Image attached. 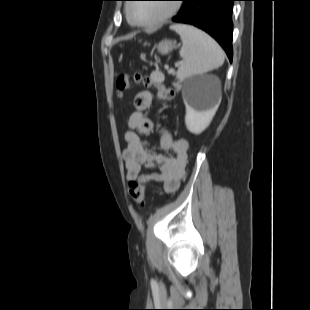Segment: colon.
Here are the masks:
<instances>
[{
  "label": "colon",
  "instance_id": "1",
  "mask_svg": "<svg viewBox=\"0 0 310 310\" xmlns=\"http://www.w3.org/2000/svg\"><path fill=\"white\" fill-rule=\"evenodd\" d=\"M140 84L145 87H155L157 95L160 99L168 101L173 99V89L163 84V76L159 72H153L150 75H144L140 72L121 73L116 79V88L119 96H123L132 86V84ZM128 192L131 200L141 205L145 198L146 185L138 181L129 182Z\"/></svg>",
  "mask_w": 310,
  "mask_h": 310
}]
</instances>
